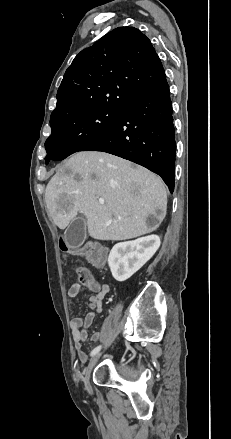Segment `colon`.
<instances>
[{"mask_svg":"<svg viewBox=\"0 0 231 439\" xmlns=\"http://www.w3.org/2000/svg\"><path fill=\"white\" fill-rule=\"evenodd\" d=\"M60 249L63 252L68 251V245L63 239H60ZM79 251L82 255L86 257V259L91 264L98 268L103 267L106 263L107 252L103 247L99 246L97 241L95 240L90 241V243L83 244L80 247ZM76 272L78 274L79 280L82 283H86L87 281H89L91 274L86 268L78 267L76 269Z\"/></svg>","mask_w":231,"mask_h":439,"instance_id":"1","label":"colon"}]
</instances>
